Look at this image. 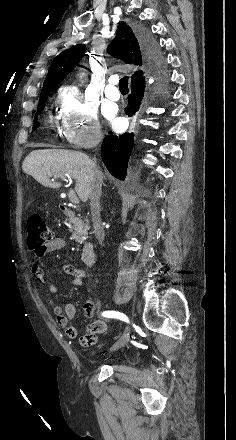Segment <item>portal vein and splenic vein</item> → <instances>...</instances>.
Returning <instances> with one entry per match:
<instances>
[{
	"label": "portal vein and splenic vein",
	"instance_id": "1",
	"mask_svg": "<svg viewBox=\"0 0 236 440\" xmlns=\"http://www.w3.org/2000/svg\"><path fill=\"white\" fill-rule=\"evenodd\" d=\"M54 177L57 178V176H54ZM68 197H69V200L72 203H74V204H78L79 203V199H78L76 193L73 190L69 191Z\"/></svg>",
	"mask_w": 236,
	"mask_h": 440
}]
</instances>
